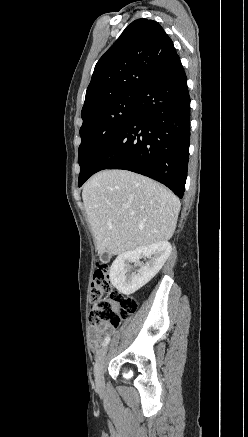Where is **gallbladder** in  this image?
Here are the masks:
<instances>
[{
	"instance_id": "obj_1",
	"label": "gallbladder",
	"mask_w": 248,
	"mask_h": 437,
	"mask_svg": "<svg viewBox=\"0 0 248 437\" xmlns=\"http://www.w3.org/2000/svg\"><path fill=\"white\" fill-rule=\"evenodd\" d=\"M109 258V254L107 252H104L100 255V260L101 261H107Z\"/></svg>"
}]
</instances>
